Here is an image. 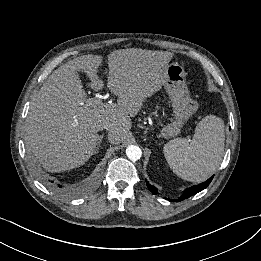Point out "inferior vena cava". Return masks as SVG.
<instances>
[{
  "mask_svg": "<svg viewBox=\"0 0 261 261\" xmlns=\"http://www.w3.org/2000/svg\"><path fill=\"white\" fill-rule=\"evenodd\" d=\"M102 129H108L106 126H102L101 128H100V130H102Z\"/></svg>",
  "mask_w": 261,
  "mask_h": 261,
  "instance_id": "obj_1",
  "label": "inferior vena cava"
}]
</instances>
